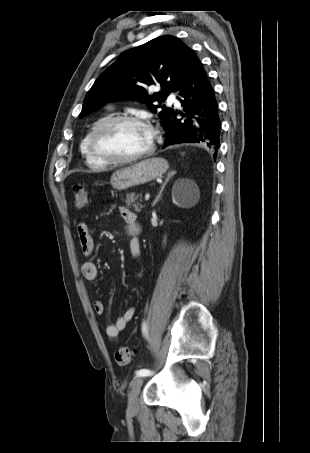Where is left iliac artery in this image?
<instances>
[{"instance_id":"1","label":"left iliac artery","mask_w":310,"mask_h":453,"mask_svg":"<svg viewBox=\"0 0 310 453\" xmlns=\"http://www.w3.org/2000/svg\"><path fill=\"white\" fill-rule=\"evenodd\" d=\"M142 329H143L144 334L147 335V328H146L145 323L143 324ZM151 373L152 372L148 369H140L136 372V375L137 376H148V375H151Z\"/></svg>"}]
</instances>
